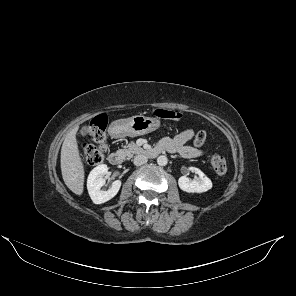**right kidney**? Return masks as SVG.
Listing matches in <instances>:
<instances>
[{"instance_id": "obj_1", "label": "right kidney", "mask_w": 296, "mask_h": 296, "mask_svg": "<svg viewBox=\"0 0 296 296\" xmlns=\"http://www.w3.org/2000/svg\"><path fill=\"white\" fill-rule=\"evenodd\" d=\"M107 172V165L101 164L95 167L88 176L87 189L94 204H102L109 201L118 193L121 187V181L116 180L107 191L101 190V187L105 184L104 175Z\"/></svg>"}]
</instances>
